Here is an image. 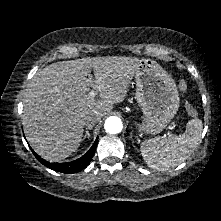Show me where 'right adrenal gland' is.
I'll list each match as a JSON object with an SVG mask.
<instances>
[{
    "instance_id": "right-adrenal-gland-1",
    "label": "right adrenal gland",
    "mask_w": 221,
    "mask_h": 221,
    "mask_svg": "<svg viewBox=\"0 0 221 221\" xmlns=\"http://www.w3.org/2000/svg\"><path fill=\"white\" fill-rule=\"evenodd\" d=\"M90 129H91V128H86L85 134H84V137H83L82 140H85L86 138H89V137H90V133H89V130H90Z\"/></svg>"
}]
</instances>
